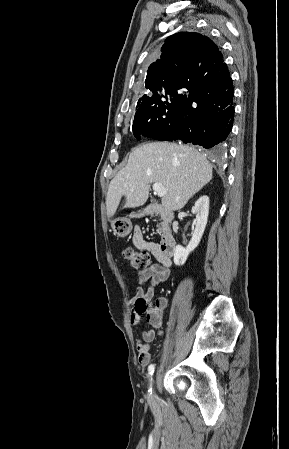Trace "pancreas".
Instances as JSON below:
<instances>
[{"label": "pancreas", "mask_w": 289, "mask_h": 449, "mask_svg": "<svg viewBox=\"0 0 289 449\" xmlns=\"http://www.w3.org/2000/svg\"><path fill=\"white\" fill-rule=\"evenodd\" d=\"M157 227L159 228V229H158V232H159V233L164 232V227H163V224H162V223L158 224Z\"/></svg>", "instance_id": "1"}]
</instances>
